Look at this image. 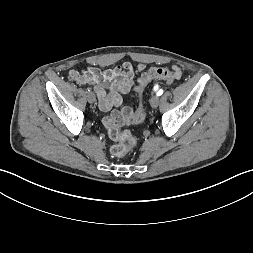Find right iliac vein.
<instances>
[{
	"instance_id": "63e3f726",
	"label": "right iliac vein",
	"mask_w": 253,
	"mask_h": 253,
	"mask_svg": "<svg viewBox=\"0 0 253 253\" xmlns=\"http://www.w3.org/2000/svg\"><path fill=\"white\" fill-rule=\"evenodd\" d=\"M87 100L89 103H94L96 101V96L93 92L87 94Z\"/></svg>"
}]
</instances>
